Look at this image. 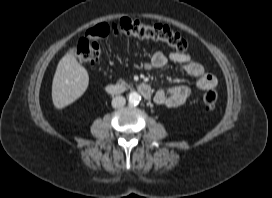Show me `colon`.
<instances>
[{
  "mask_svg": "<svg viewBox=\"0 0 272 198\" xmlns=\"http://www.w3.org/2000/svg\"><path fill=\"white\" fill-rule=\"evenodd\" d=\"M110 33L141 39H153L166 42L178 52H185L188 48L186 39L178 32L160 24H145L139 19L123 17L110 23L103 22L88 29L84 37L69 49L77 59L96 63L101 56L99 42ZM217 102V92L213 88L206 89L202 96V104L206 109H212Z\"/></svg>",
  "mask_w": 272,
  "mask_h": 198,
  "instance_id": "1",
  "label": "colon"
}]
</instances>
